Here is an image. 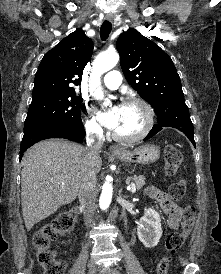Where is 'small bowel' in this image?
Masks as SVG:
<instances>
[{"mask_svg":"<svg viewBox=\"0 0 221 274\" xmlns=\"http://www.w3.org/2000/svg\"><path fill=\"white\" fill-rule=\"evenodd\" d=\"M145 193L148 197L156 200L164 213L167 215V228L177 229L183 217V208L170 199L167 193L156 187H148Z\"/></svg>","mask_w":221,"mask_h":274,"instance_id":"1","label":"small bowel"}]
</instances>
